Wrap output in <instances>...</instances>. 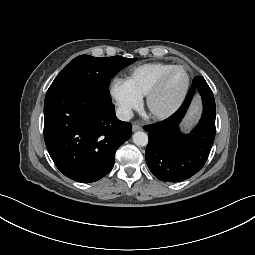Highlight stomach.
Here are the masks:
<instances>
[{
  "label": "stomach",
  "instance_id": "stomach-1",
  "mask_svg": "<svg viewBox=\"0 0 255 255\" xmlns=\"http://www.w3.org/2000/svg\"><path fill=\"white\" fill-rule=\"evenodd\" d=\"M198 112H199V102L197 99H195L191 108H190L188 116L186 117V119L184 121L185 127H188L193 122V120L195 119Z\"/></svg>",
  "mask_w": 255,
  "mask_h": 255
}]
</instances>
